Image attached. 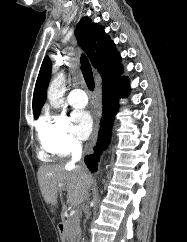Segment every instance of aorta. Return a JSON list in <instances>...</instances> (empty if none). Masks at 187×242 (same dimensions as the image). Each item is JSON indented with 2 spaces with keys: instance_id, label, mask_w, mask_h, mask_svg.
I'll list each match as a JSON object with an SVG mask.
<instances>
[{
  "instance_id": "762f6f07",
  "label": "aorta",
  "mask_w": 187,
  "mask_h": 242,
  "mask_svg": "<svg viewBox=\"0 0 187 242\" xmlns=\"http://www.w3.org/2000/svg\"><path fill=\"white\" fill-rule=\"evenodd\" d=\"M65 75L59 73L50 83L47 91L49 103L54 108H59L63 104V94L65 92Z\"/></svg>"
}]
</instances>
